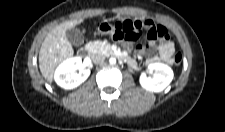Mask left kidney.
<instances>
[{"mask_svg":"<svg viewBox=\"0 0 225 132\" xmlns=\"http://www.w3.org/2000/svg\"><path fill=\"white\" fill-rule=\"evenodd\" d=\"M150 76L142 73L140 76L141 86L152 92H161L173 79V70L163 63H152L148 65Z\"/></svg>","mask_w":225,"mask_h":132,"instance_id":"1","label":"left kidney"}]
</instances>
